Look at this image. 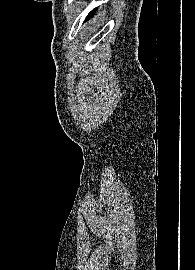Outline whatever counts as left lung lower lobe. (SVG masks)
<instances>
[{
	"instance_id": "0a47b994",
	"label": "left lung lower lobe",
	"mask_w": 195,
	"mask_h": 270,
	"mask_svg": "<svg viewBox=\"0 0 195 270\" xmlns=\"http://www.w3.org/2000/svg\"><path fill=\"white\" fill-rule=\"evenodd\" d=\"M96 9H94L93 11H91L90 13H89V15L86 17V19H85V21H87L93 14H94V11H95Z\"/></svg>"
}]
</instances>
